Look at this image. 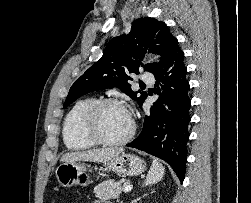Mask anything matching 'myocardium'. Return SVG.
<instances>
[{
  "instance_id": "obj_1",
  "label": "myocardium",
  "mask_w": 251,
  "mask_h": 203,
  "mask_svg": "<svg viewBox=\"0 0 251 203\" xmlns=\"http://www.w3.org/2000/svg\"><path fill=\"white\" fill-rule=\"evenodd\" d=\"M108 106H121L123 104L112 98L100 99L95 101L85 112L82 129L84 134L91 139L94 143L104 145V146H118L127 143L135 134L136 124L135 121L131 118V127L128 133L119 139H107L99 131L98 120L101 111Z\"/></svg>"
}]
</instances>
